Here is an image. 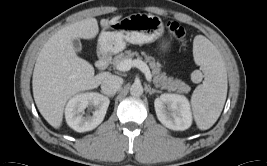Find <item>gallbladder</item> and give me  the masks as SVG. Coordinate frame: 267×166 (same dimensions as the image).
Returning a JSON list of instances; mask_svg holds the SVG:
<instances>
[{
    "label": "gallbladder",
    "instance_id": "bac80fb5",
    "mask_svg": "<svg viewBox=\"0 0 267 166\" xmlns=\"http://www.w3.org/2000/svg\"><path fill=\"white\" fill-rule=\"evenodd\" d=\"M72 45L76 52H80L82 50V44L79 39H73Z\"/></svg>",
    "mask_w": 267,
    "mask_h": 166
}]
</instances>
